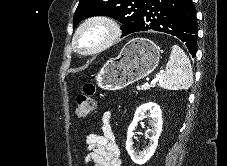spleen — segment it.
Returning <instances> with one entry per match:
<instances>
[{"label":"spleen","instance_id":"spleen-1","mask_svg":"<svg viewBox=\"0 0 227 166\" xmlns=\"http://www.w3.org/2000/svg\"><path fill=\"white\" fill-rule=\"evenodd\" d=\"M192 83L190 60L179 46L173 45L166 70L159 78V86L168 90H187Z\"/></svg>","mask_w":227,"mask_h":166}]
</instances>
